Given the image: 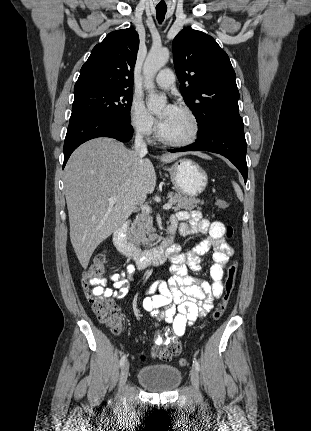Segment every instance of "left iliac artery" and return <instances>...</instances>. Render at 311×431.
I'll use <instances>...</instances> for the list:
<instances>
[{
    "instance_id": "left-iliac-artery-1",
    "label": "left iliac artery",
    "mask_w": 311,
    "mask_h": 431,
    "mask_svg": "<svg viewBox=\"0 0 311 431\" xmlns=\"http://www.w3.org/2000/svg\"><path fill=\"white\" fill-rule=\"evenodd\" d=\"M193 364H194L196 370L199 371L200 370V365H199V362L195 358L193 360Z\"/></svg>"
}]
</instances>
